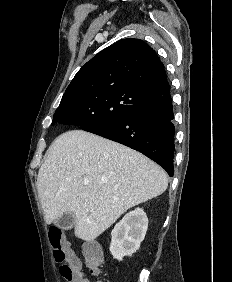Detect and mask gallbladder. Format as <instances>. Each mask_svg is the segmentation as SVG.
I'll return each mask as SVG.
<instances>
[{
  "label": "gallbladder",
  "mask_w": 232,
  "mask_h": 282,
  "mask_svg": "<svg viewBox=\"0 0 232 282\" xmlns=\"http://www.w3.org/2000/svg\"><path fill=\"white\" fill-rule=\"evenodd\" d=\"M54 225L60 229L68 230L75 225V215L73 212H68L60 216L54 221Z\"/></svg>",
  "instance_id": "obj_1"
}]
</instances>
